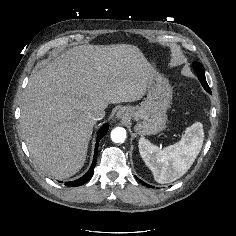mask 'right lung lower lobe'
I'll list each match as a JSON object with an SVG mask.
<instances>
[{"instance_id":"right-lung-lower-lobe-1","label":"right lung lower lobe","mask_w":236,"mask_h":236,"mask_svg":"<svg viewBox=\"0 0 236 236\" xmlns=\"http://www.w3.org/2000/svg\"><path fill=\"white\" fill-rule=\"evenodd\" d=\"M108 128H109V125L105 124L98 132L97 139H96L97 143L95 145L94 158H93V162H92V165H91L89 171L83 177H81L78 180L71 181V182H65L66 186H69V187L80 186V185H83L84 183H86L91 178V176L94 172V167H95V163H96L99 141L103 136L106 135V133L108 131Z\"/></svg>"}]
</instances>
